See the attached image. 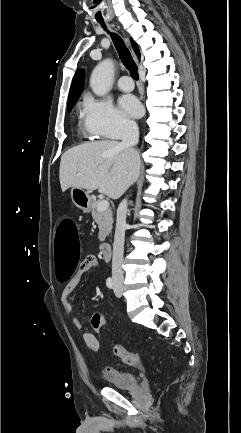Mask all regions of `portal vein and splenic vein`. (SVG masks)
I'll list each match as a JSON object with an SVG mask.
<instances>
[{
	"label": "portal vein and splenic vein",
	"instance_id": "portal-vein-and-splenic-vein-1",
	"mask_svg": "<svg viewBox=\"0 0 241 433\" xmlns=\"http://www.w3.org/2000/svg\"><path fill=\"white\" fill-rule=\"evenodd\" d=\"M109 208V202L107 200H102L98 204V211H105Z\"/></svg>",
	"mask_w": 241,
	"mask_h": 433
}]
</instances>
